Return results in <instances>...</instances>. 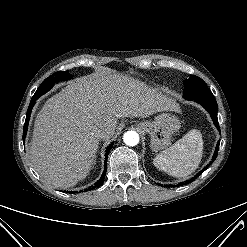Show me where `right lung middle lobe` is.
Returning a JSON list of instances; mask_svg holds the SVG:
<instances>
[{"instance_id":"right-lung-middle-lobe-1","label":"right lung middle lobe","mask_w":247,"mask_h":247,"mask_svg":"<svg viewBox=\"0 0 247 247\" xmlns=\"http://www.w3.org/2000/svg\"><path fill=\"white\" fill-rule=\"evenodd\" d=\"M69 78H71V74H69L67 71H58L54 73L42 82L32 98L38 99L40 96L45 94L53 87L55 81L67 80Z\"/></svg>"}]
</instances>
